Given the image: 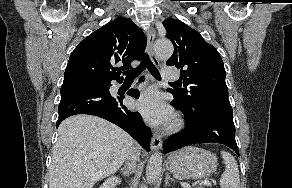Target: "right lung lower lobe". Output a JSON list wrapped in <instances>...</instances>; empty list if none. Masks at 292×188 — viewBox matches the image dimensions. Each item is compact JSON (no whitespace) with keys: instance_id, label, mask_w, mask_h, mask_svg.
I'll return each mask as SVG.
<instances>
[{"instance_id":"right-lung-lower-lobe-1","label":"right lung lower lobe","mask_w":292,"mask_h":188,"mask_svg":"<svg viewBox=\"0 0 292 188\" xmlns=\"http://www.w3.org/2000/svg\"><path fill=\"white\" fill-rule=\"evenodd\" d=\"M106 82L105 86L79 81L63 82L56 127L72 115H95L116 124L130 134L146 151H149L150 129L145 126L138 112H131L123 105L124 95L110 94L109 89L112 85L109 80ZM127 94L135 98L139 97L137 90H130Z\"/></svg>"}]
</instances>
